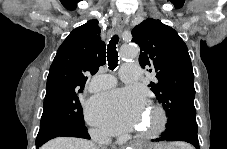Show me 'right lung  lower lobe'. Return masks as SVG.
<instances>
[{"label": "right lung lower lobe", "instance_id": "1", "mask_svg": "<svg viewBox=\"0 0 227 149\" xmlns=\"http://www.w3.org/2000/svg\"><path fill=\"white\" fill-rule=\"evenodd\" d=\"M79 137L84 139H90L87 129L84 125H67L64 127H42L40 128L37 139L36 147H41L48 140L55 137Z\"/></svg>", "mask_w": 227, "mask_h": 149}]
</instances>
